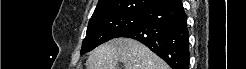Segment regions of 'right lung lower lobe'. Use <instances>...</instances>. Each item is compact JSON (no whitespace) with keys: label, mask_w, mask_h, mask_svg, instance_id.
Here are the masks:
<instances>
[{"label":"right lung lower lobe","mask_w":246,"mask_h":69,"mask_svg":"<svg viewBox=\"0 0 246 69\" xmlns=\"http://www.w3.org/2000/svg\"><path fill=\"white\" fill-rule=\"evenodd\" d=\"M119 37L140 41L173 69H188L189 34L181 0H168L143 12L141 22Z\"/></svg>","instance_id":"obj_1"}]
</instances>
